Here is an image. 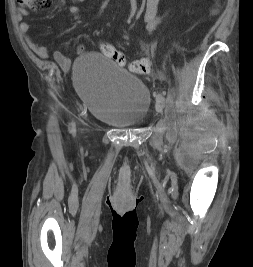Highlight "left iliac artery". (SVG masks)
Returning a JSON list of instances; mask_svg holds the SVG:
<instances>
[{"label":"left iliac artery","mask_w":253,"mask_h":267,"mask_svg":"<svg viewBox=\"0 0 253 267\" xmlns=\"http://www.w3.org/2000/svg\"><path fill=\"white\" fill-rule=\"evenodd\" d=\"M156 101L159 103L164 104L165 103V98L161 94L156 95Z\"/></svg>","instance_id":"44dca946"}]
</instances>
